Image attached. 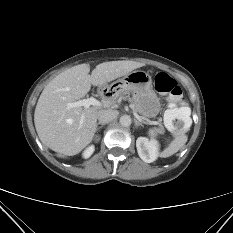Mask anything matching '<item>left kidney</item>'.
I'll return each mask as SVG.
<instances>
[{
    "label": "left kidney",
    "mask_w": 233,
    "mask_h": 233,
    "mask_svg": "<svg viewBox=\"0 0 233 233\" xmlns=\"http://www.w3.org/2000/svg\"><path fill=\"white\" fill-rule=\"evenodd\" d=\"M136 147L139 157L144 162L151 163L157 159L159 145L156 140L139 137L136 140Z\"/></svg>",
    "instance_id": "5707ae66"
}]
</instances>
